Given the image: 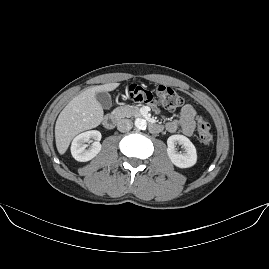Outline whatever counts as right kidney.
Returning <instances> with one entry per match:
<instances>
[{
  "mask_svg": "<svg viewBox=\"0 0 269 269\" xmlns=\"http://www.w3.org/2000/svg\"><path fill=\"white\" fill-rule=\"evenodd\" d=\"M101 133L97 130L86 131L76 136L71 144V154L73 158L79 162H86L93 159L101 150ZM94 139L95 142L86 149L85 144L90 139Z\"/></svg>",
  "mask_w": 269,
  "mask_h": 269,
  "instance_id": "obj_1",
  "label": "right kidney"
}]
</instances>
